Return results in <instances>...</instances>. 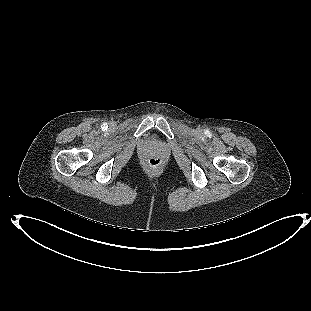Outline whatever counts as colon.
Wrapping results in <instances>:
<instances>
[{
  "instance_id": "1",
  "label": "colon",
  "mask_w": 311,
  "mask_h": 311,
  "mask_svg": "<svg viewBox=\"0 0 311 311\" xmlns=\"http://www.w3.org/2000/svg\"><path fill=\"white\" fill-rule=\"evenodd\" d=\"M163 165V161L160 158L153 157L148 160V167L151 170H157L161 168Z\"/></svg>"
}]
</instances>
